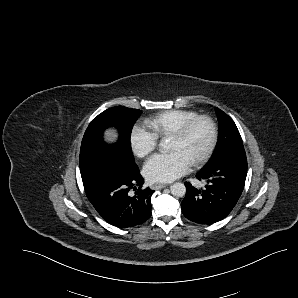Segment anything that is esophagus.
Listing matches in <instances>:
<instances>
[{"instance_id":"esophagus-1","label":"esophagus","mask_w":298,"mask_h":298,"mask_svg":"<svg viewBox=\"0 0 298 298\" xmlns=\"http://www.w3.org/2000/svg\"><path fill=\"white\" fill-rule=\"evenodd\" d=\"M166 186H167L166 184L159 183V184L152 185L151 188L155 190H159V189L165 188Z\"/></svg>"}]
</instances>
